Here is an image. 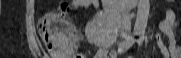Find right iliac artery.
<instances>
[{"label":"right iliac artery","instance_id":"right-iliac-artery-1","mask_svg":"<svg viewBox=\"0 0 181 58\" xmlns=\"http://www.w3.org/2000/svg\"><path fill=\"white\" fill-rule=\"evenodd\" d=\"M137 34L133 33L129 35L124 42H122L118 48V53H124L136 42Z\"/></svg>","mask_w":181,"mask_h":58}]
</instances>
